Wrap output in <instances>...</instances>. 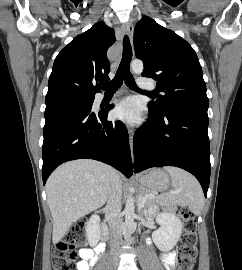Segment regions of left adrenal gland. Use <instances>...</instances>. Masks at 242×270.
Segmentation results:
<instances>
[{
    "label": "left adrenal gland",
    "instance_id": "obj_1",
    "mask_svg": "<svg viewBox=\"0 0 242 270\" xmlns=\"http://www.w3.org/2000/svg\"><path fill=\"white\" fill-rule=\"evenodd\" d=\"M139 210L141 211L142 214H144L146 216V207H144V208L139 207Z\"/></svg>",
    "mask_w": 242,
    "mask_h": 270
}]
</instances>
